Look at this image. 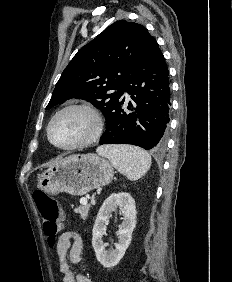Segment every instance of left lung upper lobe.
Segmentation results:
<instances>
[{
	"instance_id": "1",
	"label": "left lung upper lobe",
	"mask_w": 232,
	"mask_h": 282,
	"mask_svg": "<svg viewBox=\"0 0 232 282\" xmlns=\"http://www.w3.org/2000/svg\"><path fill=\"white\" fill-rule=\"evenodd\" d=\"M151 39L147 29L137 23L120 20L107 27L64 69L46 109L79 98L91 102L106 117Z\"/></svg>"
}]
</instances>
